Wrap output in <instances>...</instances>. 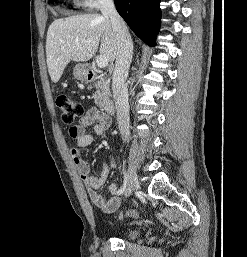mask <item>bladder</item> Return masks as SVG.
Returning a JSON list of instances; mask_svg holds the SVG:
<instances>
[{
    "label": "bladder",
    "mask_w": 247,
    "mask_h": 257,
    "mask_svg": "<svg viewBox=\"0 0 247 257\" xmlns=\"http://www.w3.org/2000/svg\"><path fill=\"white\" fill-rule=\"evenodd\" d=\"M123 236L125 238L133 239L136 238L140 234V230L137 228H130L123 231Z\"/></svg>",
    "instance_id": "31cf9c89"
}]
</instances>
